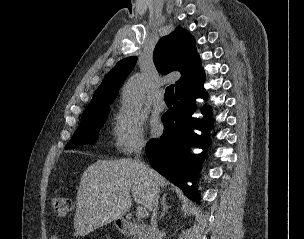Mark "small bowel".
<instances>
[{
	"instance_id": "c3829d8e",
	"label": "small bowel",
	"mask_w": 304,
	"mask_h": 239,
	"mask_svg": "<svg viewBox=\"0 0 304 239\" xmlns=\"http://www.w3.org/2000/svg\"><path fill=\"white\" fill-rule=\"evenodd\" d=\"M51 239H61V233L57 232V233L53 234Z\"/></svg>"
}]
</instances>
